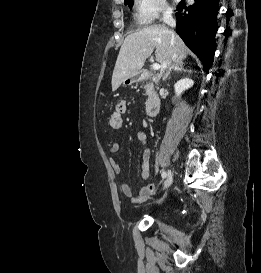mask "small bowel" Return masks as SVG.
I'll return each instance as SVG.
<instances>
[{
  "label": "small bowel",
  "instance_id": "1",
  "mask_svg": "<svg viewBox=\"0 0 261 273\" xmlns=\"http://www.w3.org/2000/svg\"><path fill=\"white\" fill-rule=\"evenodd\" d=\"M126 110H127V104L124 101H119L116 104V107H115L116 113L124 114ZM137 140L141 146L145 147L148 144V135L143 131H139L137 133ZM119 150H120V145L118 141L116 140L113 141L110 147L111 153L116 154L119 152ZM110 164L115 174H119L121 172V166L117 160L112 158L110 160ZM141 167H142L141 177L143 179H146L149 175V169H150V152L148 149H145L143 151ZM120 190L124 196L129 198L132 204H139V203L145 202L154 193L155 187L152 184H146L141 188L139 194L136 196L133 195L131 187L126 183H122L120 185Z\"/></svg>",
  "mask_w": 261,
  "mask_h": 273
}]
</instances>
